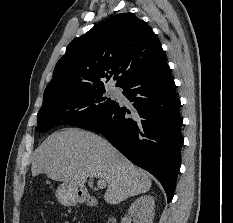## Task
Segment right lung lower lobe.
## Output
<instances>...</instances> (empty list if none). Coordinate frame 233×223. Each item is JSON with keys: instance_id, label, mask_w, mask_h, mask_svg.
I'll return each mask as SVG.
<instances>
[{"instance_id": "obj_1", "label": "right lung lower lobe", "mask_w": 233, "mask_h": 223, "mask_svg": "<svg viewBox=\"0 0 233 223\" xmlns=\"http://www.w3.org/2000/svg\"><path fill=\"white\" fill-rule=\"evenodd\" d=\"M132 102H117L80 128L101 133L125 157L149 171L172 199L183 144L180 101L167 63L121 86Z\"/></svg>"}]
</instances>
